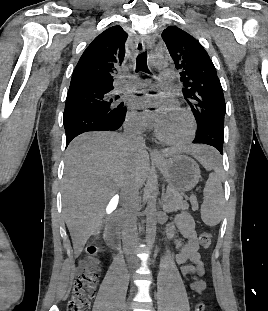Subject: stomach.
Returning <instances> with one entry per match:
<instances>
[{"label": "stomach", "instance_id": "0dacf381", "mask_svg": "<svg viewBox=\"0 0 268 311\" xmlns=\"http://www.w3.org/2000/svg\"><path fill=\"white\" fill-rule=\"evenodd\" d=\"M155 162L165 177L169 188L176 192L190 191L199 182V166L187 155L175 153L168 158H157Z\"/></svg>", "mask_w": 268, "mask_h": 311}]
</instances>
